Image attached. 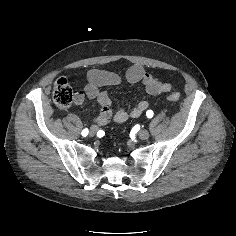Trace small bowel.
Wrapping results in <instances>:
<instances>
[{"mask_svg": "<svg viewBox=\"0 0 236 236\" xmlns=\"http://www.w3.org/2000/svg\"><path fill=\"white\" fill-rule=\"evenodd\" d=\"M125 79L131 84L140 83L148 96H156L167 93L171 90V85L160 81L157 77L147 73L141 65L131 66L125 73ZM122 78L119 74L92 69L87 75V84L82 91L75 93L74 102L82 104L85 98L96 100L100 105V110L96 116L98 125L103 126L111 121L123 123L130 118L140 117L149 107L147 100L138 102L131 109L121 108L113 113L111 109V101L107 91L101 90L102 87L118 86L121 84Z\"/></svg>", "mask_w": 236, "mask_h": 236, "instance_id": "small-bowel-1", "label": "small bowel"}]
</instances>
